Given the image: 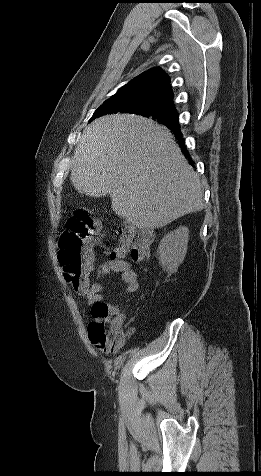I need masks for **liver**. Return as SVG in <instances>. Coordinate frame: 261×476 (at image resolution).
I'll return each instance as SVG.
<instances>
[{"label":"liver","mask_w":261,"mask_h":476,"mask_svg":"<svg viewBox=\"0 0 261 476\" xmlns=\"http://www.w3.org/2000/svg\"><path fill=\"white\" fill-rule=\"evenodd\" d=\"M70 180L81 194H109L113 211L138 228H161L204 207L199 176L169 130L134 114L106 115L85 128Z\"/></svg>","instance_id":"liver-1"}]
</instances>
